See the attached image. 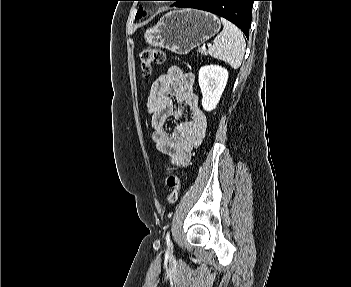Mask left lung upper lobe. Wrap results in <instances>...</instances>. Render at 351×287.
<instances>
[{"instance_id":"left-lung-upper-lobe-1","label":"left lung upper lobe","mask_w":351,"mask_h":287,"mask_svg":"<svg viewBox=\"0 0 351 287\" xmlns=\"http://www.w3.org/2000/svg\"><path fill=\"white\" fill-rule=\"evenodd\" d=\"M172 1H176L175 4H177L180 0H172ZM144 15H145V12L143 11L142 6H140V8H139V10H138V12H137V14H136L135 19H139V18H141V17L144 16Z\"/></svg>"}]
</instances>
